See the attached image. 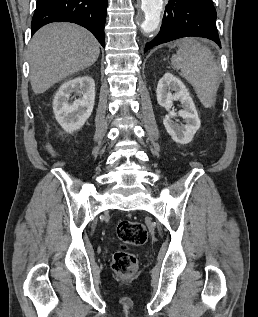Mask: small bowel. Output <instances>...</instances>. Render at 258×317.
I'll return each mask as SVG.
<instances>
[{
    "mask_svg": "<svg viewBox=\"0 0 258 317\" xmlns=\"http://www.w3.org/2000/svg\"><path fill=\"white\" fill-rule=\"evenodd\" d=\"M45 148H46V151H47L49 154H51V155L54 154V150H53V148H52L49 144H47V145L45 146Z\"/></svg>",
    "mask_w": 258,
    "mask_h": 317,
    "instance_id": "1",
    "label": "small bowel"
}]
</instances>
